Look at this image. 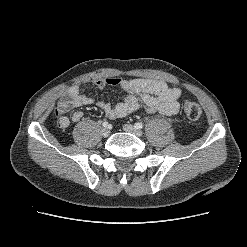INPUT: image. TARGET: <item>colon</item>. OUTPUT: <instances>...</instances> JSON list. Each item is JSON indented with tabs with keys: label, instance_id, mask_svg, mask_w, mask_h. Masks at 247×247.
Listing matches in <instances>:
<instances>
[{
	"label": "colon",
	"instance_id": "obj_1",
	"mask_svg": "<svg viewBox=\"0 0 247 247\" xmlns=\"http://www.w3.org/2000/svg\"><path fill=\"white\" fill-rule=\"evenodd\" d=\"M185 115L190 120H197L200 118L202 110L201 107L192 101H186L183 105Z\"/></svg>",
	"mask_w": 247,
	"mask_h": 247
}]
</instances>
